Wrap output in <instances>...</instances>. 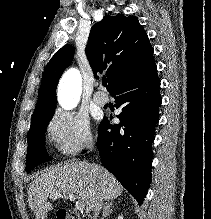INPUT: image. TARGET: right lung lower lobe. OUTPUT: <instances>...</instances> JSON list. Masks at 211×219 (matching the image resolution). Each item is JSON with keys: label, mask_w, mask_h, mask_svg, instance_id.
Instances as JSON below:
<instances>
[{"label": "right lung lower lobe", "mask_w": 211, "mask_h": 219, "mask_svg": "<svg viewBox=\"0 0 211 219\" xmlns=\"http://www.w3.org/2000/svg\"><path fill=\"white\" fill-rule=\"evenodd\" d=\"M160 81L154 59L119 81L110 94L115 98L120 124L110 125L105 117L98 128L97 147L104 167L138 201L151 183L155 127L161 105Z\"/></svg>", "instance_id": "1"}]
</instances>
